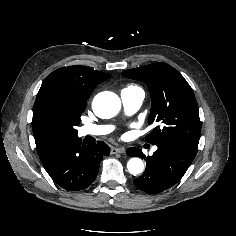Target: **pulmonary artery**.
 <instances>
[{"label":"pulmonary artery","mask_w":236,"mask_h":236,"mask_svg":"<svg viewBox=\"0 0 236 236\" xmlns=\"http://www.w3.org/2000/svg\"><path fill=\"white\" fill-rule=\"evenodd\" d=\"M145 93L141 88L133 90H122L121 100L125 111L128 114L136 112L142 105ZM112 126L86 124L79 128L80 136H100L112 131Z\"/></svg>","instance_id":"obj_1"}]
</instances>
